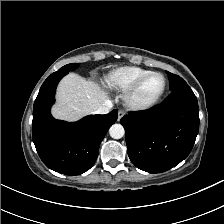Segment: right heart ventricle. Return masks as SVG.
Returning <instances> with one entry per match:
<instances>
[{"instance_id":"1","label":"right heart ventricle","mask_w":224,"mask_h":224,"mask_svg":"<svg viewBox=\"0 0 224 224\" xmlns=\"http://www.w3.org/2000/svg\"><path fill=\"white\" fill-rule=\"evenodd\" d=\"M149 72L151 71L137 66H122L112 70L104 82L108 88L126 91L135 81Z\"/></svg>"}]
</instances>
